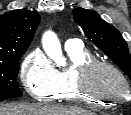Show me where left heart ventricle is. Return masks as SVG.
<instances>
[{"instance_id":"left-heart-ventricle-1","label":"left heart ventricle","mask_w":131,"mask_h":115,"mask_svg":"<svg viewBox=\"0 0 131 115\" xmlns=\"http://www.w3.org/2000/svg\"><path fill=\"white\" fill-rule=\"evenodd\" d=\"M91 85L97 92L110 97H125V86L120 78L112 71L100 68L91 78Z\"/></svg>"}]
</instances>
